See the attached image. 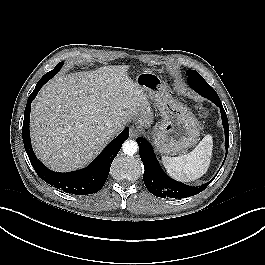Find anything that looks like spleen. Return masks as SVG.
Instances as JSON below:
<instances>
[{
  "instance_id": "1",
  "label": "spleen",
  "mask_w": 265,
  "mask_h": 265,
  "mask_svg": "<svg viewBox=\"0 0 265 265\" xmlns=\"http://www.w3.org/2000/svg\"><path fill=\"white\" fill-rule=\"evenodd\" d=\"M213 150L211 135H206L196 148L187 155L162 157V163L173 178L190 182L203 176L209 168Z\"/></svg>"
}]
</instances>
